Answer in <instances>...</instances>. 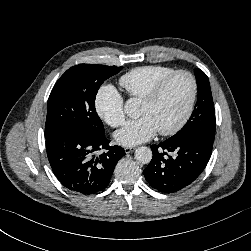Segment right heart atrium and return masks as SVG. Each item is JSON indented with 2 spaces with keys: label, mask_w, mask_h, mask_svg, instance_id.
<instances>
[{
  "label": "right heart atrium",
  "mask_w": 251,
  "mask_h": 251,
  "mask_svg": "<svg viewBox=\"0 0 251 251\" xmlns=\"http://www.w3.org/2000/svg\"><path fill=\"white\" fill-rule=\"evenodd\" d=\"M98 115L112 127L124 122L123 97L113 86H102L95 97Z\"/></svg>",
  "instance_id": "1"
}]
</instances>
